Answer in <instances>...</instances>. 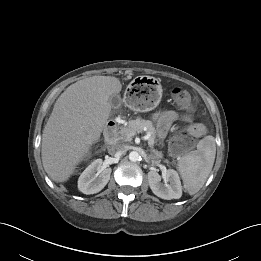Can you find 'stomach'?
<instances>
[{
  "mask_svg": "<svg viewBox=\"0 0 261 261\" xmlns=\"http://www.w3.org/2000/svg\"><path fill=\"white\" fill-rule=\"evenodd\" d=\"M162 92V86L157 79L141 76L129 84L124 102L131 110L145 113L158 106Z\"/></svg>",
  "mask_w": 261,
  "mask_h": 261,
  "instance_id": "obj_1",
  "label": "stomach"
}]
</instances>
